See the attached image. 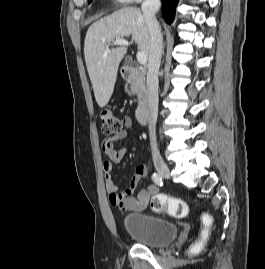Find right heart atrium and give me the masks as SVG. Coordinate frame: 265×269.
<instances>
[{"label": "right heart atrium", "mask_w": 265, "mask_h": 269, "mask_svg": "<svg viewBox=\"0 0 265 269\" xmlns=\"http://www.w3.org/2000/svg\"><path fill=\"white\" fill-rule=\"evenodd\" d=\"M116 1L121 4H134V3H139L142 0H116Z\"/></svg>", "instance_id": "d8ad5b80"}]
</instances>
